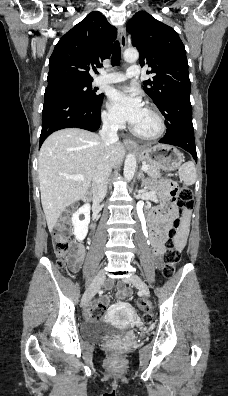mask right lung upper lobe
<instances>
[{
    "label": "right lung upper lobe",
    "instance_id": "cb5924a9",
    "mask_svg": "<svg viewBox=\"0 0 228 396\" xmlns=\"http://www.w3.org/2000/svg\"><path fill=\"white\" fill-rule=\"evenodd\" d=\"M117 30L99 12H91L56 44L49 60L48 87L92 82L90 70L111 55Z\"/></svg>",
    "mask_w": 228,
    "mask_h": 396
}]
</instances>
